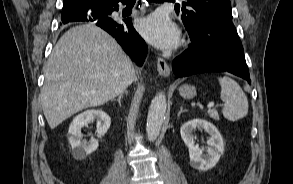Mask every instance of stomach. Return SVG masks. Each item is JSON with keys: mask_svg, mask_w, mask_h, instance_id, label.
Returning <instances> with one entry per match:
<instances>
[{"mask_svg": "<svg viewBox=\"0 0 293 184\" xmlns=\"http://www.w3.org/2000/svg\"><path fill=\"white\" fill-rule=\"evenodd\" d=\"M179 93L183 98L192 99L196 96V88L192 85H182L179 87Z\"/></svg>", "mask_w": 293, "mask_h": 184, "instance_id": "1", "label": "stomach"}]
</instances>
